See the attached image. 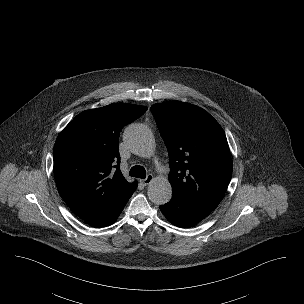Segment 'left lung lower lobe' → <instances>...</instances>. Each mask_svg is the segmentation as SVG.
I'll return each mask as SVG.
<instances>
[{
    "instance_id": "obj_1",
    "label": "left lung lower lobe",
    "mask_w": 304,
    "mask_h": 304,
    "mask_svg": "<svg viewBox=\"0 0 304 304\" xmlns=\"http://www.w3.org/2000/svg\"><path fill=\"white\" fill-rule=\"evenodd\" d=\"M160 210L168 221L182 227L192 226L200 222L212 211L175 195H172L169 203L161 205Z\"/></svg>"
}]
</instances>
